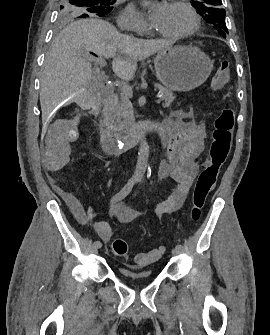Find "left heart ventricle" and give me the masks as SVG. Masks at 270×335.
Masks as SVG:
<instances>
[{
	"mask_svg": "<svg viewBox=\"0 0 270 335\" xmlns=\"http://www.w3.org/2000/svg\"><path fill=\"white\" fill-rule=\"evenodd\" d=\"M192 26V18L187 11L173 7L169 15L165 32L178 34L188 30Z\"/></svg>",
	"mask_w": 270,
	"mask_h": 335,
	"instance_id": "left-heart-ventricle-1",
	"label": "left heart ventricle"
}]
</instances>
